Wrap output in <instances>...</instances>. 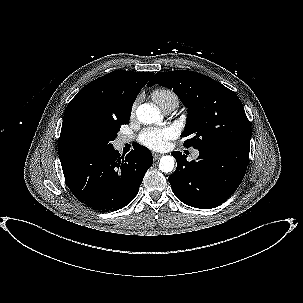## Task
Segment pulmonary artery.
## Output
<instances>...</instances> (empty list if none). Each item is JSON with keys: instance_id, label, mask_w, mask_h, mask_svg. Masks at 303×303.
<instances>
[{"instance_id": "e3ab8cb5", "label": "pulmonary artery", "mask_w": 303, "mask_h": 303, "mask_svg": "<svg viewBox=\"0 0 303 303\" xmlns=\"http://www.w3.org/2000/svg\"><path fill=\"white\" fill-rule=\"evenodd\" d=\"M174 109H175V107H173V106H168V107L163 108L162 110H163V112H164L165 114H169V113H171ZM130 140H131V139H130L129 137H127V136H121V137L119 138V143H120L121 145H123V144L129 142ZM198 155H199V152H198V151H195V152L193 153V157H194V158H197Z\"/></svg>"}]
</instances>
